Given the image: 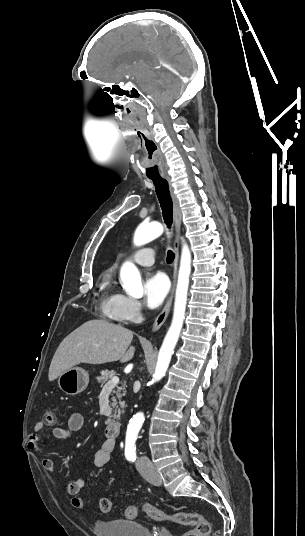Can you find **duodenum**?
Instances as JSON below:
<instances>
[{
    "instance_id": "obj_1",
    "label": "duodenum",
    "mask_w": 305,
    "mask_h": 536,
    "mask_svg": "<svg viewBox=\"0 0 305 536\" xmlns=\"http://www.w3.org/2000/svg\"><path fill=\"white\" fill-rule=\"evenodd\" d=\"M122 430H123V424L119 421H115L106 425L105 433L109 439H113L121 435Z\"/></svg>"
}]
</instances>
